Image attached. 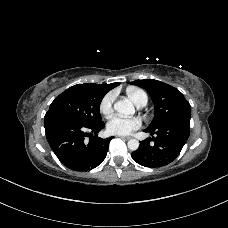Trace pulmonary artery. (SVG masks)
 <instances>
[{
	"instance_id": "1",
	"label": "pulmonary artery",
	"mask_w": 228,
	"mask_h": 228,
	"mask_svg": "<svg viewBox=\"0 0 228 228\" xmlns=\"http://www.w3.org/2000/svg\"><path fill=\"white\" fill-rule=\"evenodd\" d=\"M139 107H143V106H145V104H141V105H138Z\"/></svg>"
}]
</instances>
